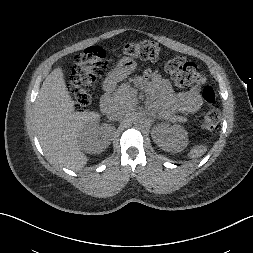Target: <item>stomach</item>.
<instances>
[{
  "instance_id": "0dacf381",
  "label": "stomach",
  "mask_w": 253,
  "mask_h": 253,
  "mask_svg": "<svg viewBox=\"0 0 253 253\" xmlns=\"http://www.w3.org/2000/svg\"><path fill=\"white\" fill-rule=\"evenodd\" d=\"M137 68V62L131 57H123L119 60L116 68L110 73L106 80L107 85H112L119 80L132 74Z\"/></svg>"
}]
</instances>
